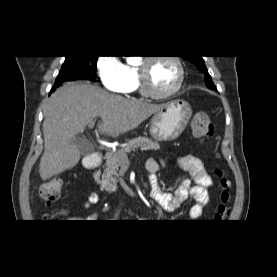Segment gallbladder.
Wrapping results in <instances>:
<instances>
[{
    "label": "gallbladder",
    "instance_id": "bac80fb5",
    "mask_svg": "<svg viewBox=\"0 0 277 277\" xmlns=\"http://www.w3.org/2000/svg\"><path fill=\"white\" fill-rule=\"evenodd\" d=\"M73 144L79 149L82 155H90L93 151V145L85 138L74 137Z\"/></svg>",
    "mask_w": 277,
    "mask_h": 277
}]
</instances>
